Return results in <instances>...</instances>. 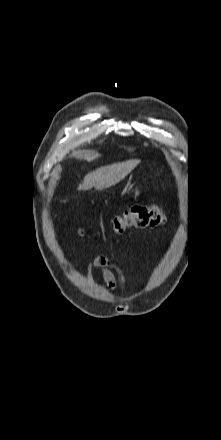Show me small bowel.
<instances>
[{
  "label": "small bowel",
  "instance_id": "small-bowel-1",
  "mask_svg": "<svg viewBox=\"0 0 221 440\" xmlns=\"http://www.w3.org/2000/svg\"><path fill=\"white\" fill-rule=\"evenodd\" d=\"M66 265L68 268L72 267L70 262H66ZM95 271L100 274L104 284L112 292L117 289V280L115 275H124L122 270L105 255L97 256L91 263L88 264L86 269V278L89 282L94 280Z\"/></svg>",
  "mask_w": 221,
  "mask_h": 440
}]
</instances>
